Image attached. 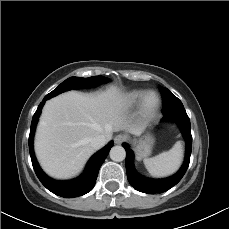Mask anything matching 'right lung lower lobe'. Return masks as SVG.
I'll list each match as a JSON object with an SVG mask.
<instances>
[{
  "instance_id": "98d812e1",
  "label": "right lung lower lobe",
  "mask_w": 229,
  "mask_h": 229,
  "mask_svg": "<svg viewBox=\"0 0 229 229\" xmlns=\"http://www.w3.org/2000/svg\"><path fill=\"white\" fill-rule=\"evenodd\" d=\"M46 100L47 98H44L38 106L31 123V131L29 135V152L33 168L41 183L52 193L65 198L82 196L93 189L99 169L103 164L105 158L107 157L111 147L113 146V141H111L106 147L101 149L90 158L85 171L78 178L70 181H57L51 179L39 167L33 150V137L36 124L38 122L39 115Z\"/></svg>"
}]
</instances>
